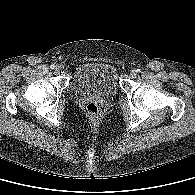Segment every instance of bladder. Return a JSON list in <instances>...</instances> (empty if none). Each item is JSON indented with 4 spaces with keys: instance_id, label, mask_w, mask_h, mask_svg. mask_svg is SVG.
Listing matches in <instances>:
<instances>
[{
    "instance_id": "obj_1",
    "label": "bladder",
    "mask_w": 195,
    "mask_h": 195,
    "mask_svg": "<svg viewBox=\"0 0 195 195\" xmlns=\"http://www.w3.org/2000/svg\"><path fill=\"white\" fill-rule=\"evenodd\" d=\"M71 87L75 94L81 96H113L118 90L117 70L107 62L82 63L74 72Z\"/></svg>"
}]
</instances>
